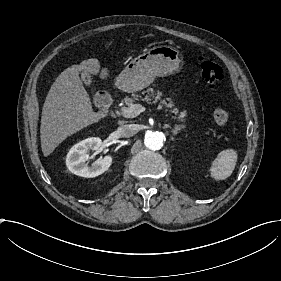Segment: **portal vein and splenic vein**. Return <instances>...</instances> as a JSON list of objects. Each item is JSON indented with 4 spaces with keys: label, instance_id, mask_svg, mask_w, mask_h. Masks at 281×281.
<instances>
[{
    "label": "portal vein and splenic vein",
    "instance_id": "18ae733b",
    "mask_svg": "<svg viewBox=\"0 0 281 281\" xmlns=\"http://www.w3.org/2000/svg\"><path fill=\"white\" fill-rule=\"evenodd\" d=\"M145 110V108L139 104H131L128 108L123 109V114L125 117L130 118V117H136L140 113H142ZM205 151L207 152L208 149L206 148ZM208 157L210 156L208 153L206 154Z\"/></svg>",
    "mask_w": 281,
    "mask_h": 281
}]
</instances>
